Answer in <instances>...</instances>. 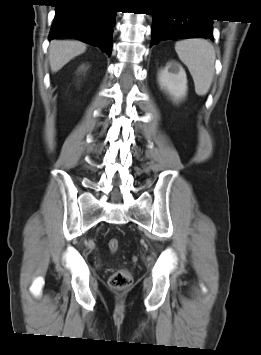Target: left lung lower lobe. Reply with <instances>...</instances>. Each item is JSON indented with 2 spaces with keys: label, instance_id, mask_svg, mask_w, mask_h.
<instances>
[{
  "label": "left lung lower lobe",
  "instance_id": "left-lung-lower-lobe-1",
  "mask_svg": "<svg viewBox=\"0 0 261 355\" xmlns=\"http://www.w3.org/2000/svg\"><path fill=\"white\" fill-rule=\"evenodd\" d=\"M212 20L167 15H153L152 42L168 39L205 38L213 39Z\"/></svg>",
  "mask_w": 261,
  "mask_h": 355
}]
</instances>
